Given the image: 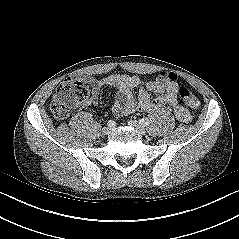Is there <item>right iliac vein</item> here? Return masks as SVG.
Wrapping results in <instances>:
<instances>
[{
	"instance_id": "right-iliac-vein-1",
	"label": "right iliac vein",
	"mask_w": 239,
	"mask_h": 239,
	"mask_svg": "<svg viewBox=\"0 0 239 239\" xmlns=\"http://www.w3.org/2000/svg\"><path fill=\"white\" fill-rule=\"evenodd\" d=\"M111 130H112V127L107 126V127H104V128L102 129V133H103L104 135H108V134H110Z\"/></svg>"
}]
</instances>
